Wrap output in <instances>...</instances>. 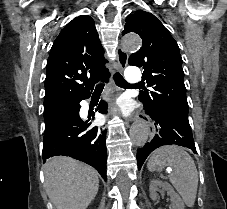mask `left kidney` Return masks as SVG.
Wrapping results in <instances>:
<instances>
[{
    "mask_svg": "<svg viewBox=\"0 0 227 209\" xmlns=\"http://www.w3.org/2000/svg\"><path fill=\"white\" fill-rule=\"evenodd\" d=\"M159 187H162L164 191H167L170 201L174 203L173 209H184V203L181 197L175 193L173 187H171L169 183H166V181H160V179H152L149 187L150 199H157L156 191H158Z\"/></svg>",
    "mask_w": 227,
    "mask_h": 209,
    "instance_id": "left-kidney-1",
    "label": "left kidney"
}]
</instances>
